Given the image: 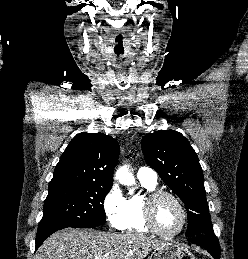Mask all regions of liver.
<instances>
[{
    "label": "liver",
    "mask_w": 248,
    "mask_h": 259,
    "mask_svg": "<svg viewBox=\"0 0 248 259\" xmlns=\"http://www.w3.org/2000/svg\"><path fill=\"white\" fill-rule=\"evenodd\" d=\"M166 244L138 233L116 234L67 228L47 238L34 259H144Z\"/></svg>",
    "instance_id": "liver-1"
}]
</instances>
